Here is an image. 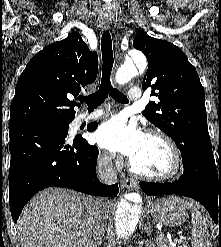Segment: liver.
Returning a JSON list of instances; mask_svg holds the SVG:
<instances>
[{
  "label": "liver",
  "mask_w": 221,
  "mask_h": 247,
  "mask_svg": "<svg viewBox=\"0 0 221 247\" xmlns=\"http://www.w3.org/2000/svg\"><path fill=\"white\" fill-rule=\"evenodd\" d=\"M96 200L61 188L39 192L17 222L24 247H90ZM104 210L107 214L106 203Z\"/></svg>",
  "instance_id": "1"
}]
</instances>
